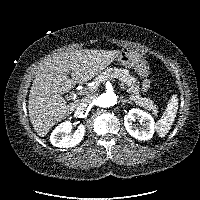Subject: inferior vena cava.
<instances>
[{
    "instance_id": "1",
    "label": "inferior vena cava",
    "mask_w": 200,
    "mask_h": 200,
    "mask_svg": "<svg viewBox=\"0 0 200 200\" xmlns=\"http://www.w3.org/2000/svg\"><path fill=\"white\" fill-rule=\"evenodd\" d=\"M93 102V97H85L83 99H81V102L79 104V106L77 107L79 112H85L87 110H89V108L91 107Z\"/></svg>"
}]
</instances>
